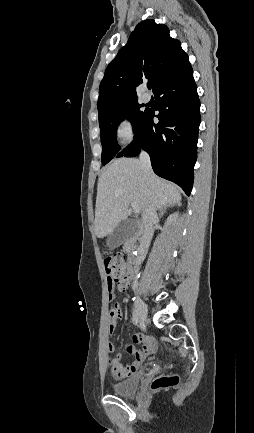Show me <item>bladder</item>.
I'll use <instances>...</instances> for the list:
<instances>
[{
	"instance_id": "bladder-1",
	"label": "bladder",
	"mask_w": 254,
	"mask_h": 433,
	"mask_svg": "<svg viewBox=\"0 0 254 433\" xmlns=\"http://www.w3.org/2000/svg\"><path fill=\"white\" fill-rule=\"evenodd\" d=\"M141 375L136 374L124 381L113 383L111 389L114 394L120 396H131L137 392L140 386Z\"/></svg>"
}]
</instances>
